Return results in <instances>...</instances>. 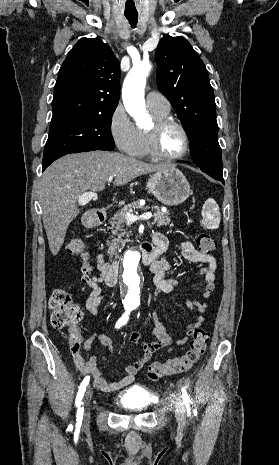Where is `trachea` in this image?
<instances>
[{"label":"trachea","mask_w":279,"mask_h":465,"mask_svg":"<svg viewBox=\"0 0 279 465\" xmlns=\"http://www.w3.org/2000/svg\"><path fill=\"white\" fill-rule=\"evenodd\" d=\"M132 27H135L138 21V14L134 15H125Z\"/></svg>","instance_id":"3493384b"}]
</instances>
